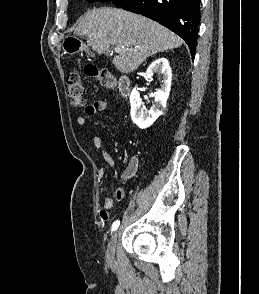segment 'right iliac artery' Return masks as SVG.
I'll list each match as a JSON object with an SVG mask.
<instances>
[{
  "instance_id": "82829eb1",
  "label": "right iliac artery",
  "mask_w": 259,
  "mask_h": 294,
  "mask_svg": "<svg viewBox=\"0 0 259 294\" xmlns=\"http://www.w3.org/2000/svg\"><path fill=\"white\" fill-rule=\"evenodd\" d=\"M120 224V221L119 220H116L113 224H112V231L116 230L118 228Z\"/></svg>"
}]
</instances>
